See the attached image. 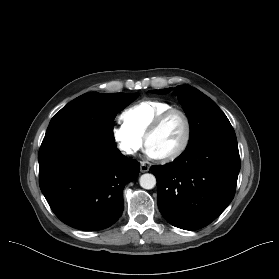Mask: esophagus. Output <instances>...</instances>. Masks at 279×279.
<instances>
[{"instance_id":"34e87169","label":"esophagus","mask_w":279,"mask_h":279,"mask_svg":"<svg viewBox=\"0 0 279 279\" xmlns=\"http://www.w3.org/2000/svg\"><path fill=\"white\" fill-rule=\"evenodd\" d=\"M150 167L148 164H146L145 162H141L140 164V171L142 173L149 171Z\"/></svg>"}]
</instances>
